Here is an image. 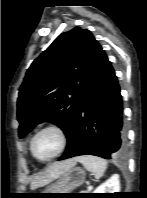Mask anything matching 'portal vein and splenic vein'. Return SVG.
<instances>
[{"label":"portal vein and splenic vein","instance_id":"obj_1","mask_svg":"<svg viewBox=\"0 0 147 198\" xmlns=\"http://www.w3.org/2000/svg\"><path fill=\"white\" fill-rule=\"evenodd\" d=\"M88 189L91 190L92 189V186H89Z\"/></svg>","mask_w":147,"mask_h":198}]
</instances>
